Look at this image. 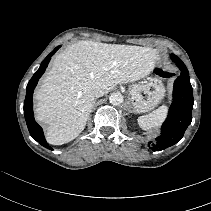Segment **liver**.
I'll list each match as a JSON object with an SVG mask.
<instances>
[{"mask_svg":"<svg viewBox=\"0 0 211 211\" xmlns=\"http://www.w3.org/2000/svg\"><path fill=\"white\" fill-rule=\"evenodd\" d=\"M152 48L79 41L59 53L35 91L36 119L47 126L49 144L62 145L85 128L96 88L105 93L134 82L156 67Z\"/></svg>","mask_w":211,"mask_h":211,"instance_id":"liver-1","label":"liver"}]
</instances>
